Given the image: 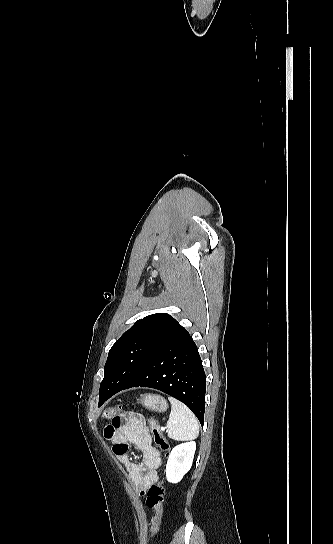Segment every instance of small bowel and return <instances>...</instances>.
Returning <instances> with one entry per match:
<instances>
[{"label":"small bowel","instance_id":"obj_1","mask_svg":"<svg viewBox=\"0 0 333 544\" xmlns=\"http://www.w3.org/2000/svg\"><path fill=\"white\" fill-rule=\"evenodd\" d=\"M104 436L112 443V450L125 467L128 477L138 493L143 496L158 481L157 469L161 465L159 451L153 446L148 427L142 418L126 412L112 419L104 429ZM142 453V461H133L128 455L129 444Z\"/></svg>","mask_w":333,"mask_h":544}]
</instances>
